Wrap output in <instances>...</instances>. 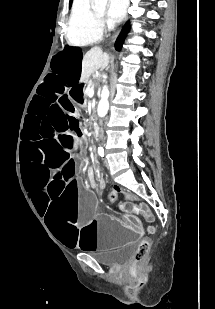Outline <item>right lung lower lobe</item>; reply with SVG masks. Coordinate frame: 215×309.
<instances>
[{"instance_id": "obj_1", "label": "right lung lower lobe", "mask_w": 215, "mask_h": 309, "mask_svg": "<svg viewBox=\"0 0 215 309\" xmlns=\"http://www.w3.org/2000/svg\"><path fill=\"white\" fill-rule=\"evenodd\" d=\"M129 29H130V24H129V22H127L126 25L124 26L123 30L121 31V34L119 35V37L116 40L115 48L117 50H120L122 48V44L124 42V39H125L127 33L129 32Z\"/></svg>"}]
</instances>
